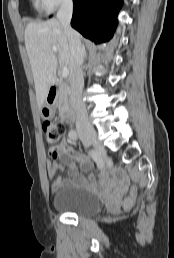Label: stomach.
<instances>
[{
    "label": "stomach",
    "mask_w": 174,
    "mask_h": 258,
    "mask_svg": "<svg viewBox=\"0 0 174 258\" xmlns=\"http://www.w3.org/2000/svg\"><path fill=\"white\" fill-rule=\"evenodd\" d=\"M40 114L44 119L52 118L55 114L54 105L46 101L40 109Z\"/></svg>",
    "instance_id": "1"
}]
</instances>
